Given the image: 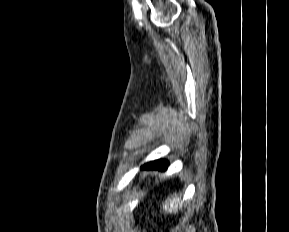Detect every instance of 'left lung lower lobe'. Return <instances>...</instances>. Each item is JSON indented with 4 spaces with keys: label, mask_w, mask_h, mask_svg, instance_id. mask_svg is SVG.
<instances>
[{
    "label": "left lung lower lobe",
    "mask_w": 289,
    "mask_h": 232,
    "mask_svg": "<svg viewBox=\"0 0 289 232\" xmlns=\"http://www.w3.org/2000/svg\"><path fill=\"white\" fill-rule=\"evenodd\" d=\"M167 167H168V162L166 160H156V161L144 164L141 168L148 169V170L165 171Z\"/></svg>",
    "instance_id": "obj_1"
}]
</instances>
